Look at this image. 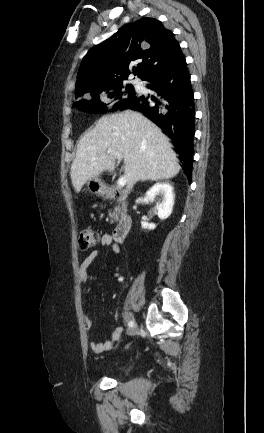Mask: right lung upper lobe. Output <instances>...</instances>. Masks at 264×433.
I'll use <instances>...</instances> for the list:
<instances>
[{"mask_svg":"<svg viewBox=\"0 0 264 433\" xmlns=\"http://www.w3.org/2000/svg\"><path fill=\"white\" fill-rule=\"evenodd\" d=\"M181 52L174 34L157 19L144 17L126 24L83 58L77 74V101L122 86L131 72L143 79Z\"/></svg>","mask_w":264,"mask_h":433,"instance_id":"1","label":"right lung upper lobe"}]
</instances>
